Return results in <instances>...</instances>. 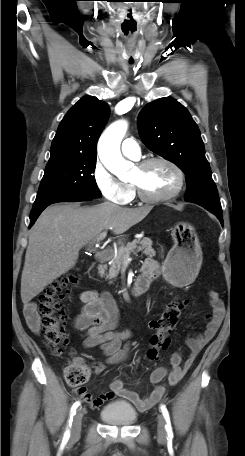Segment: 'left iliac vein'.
I'll return each mask as SVG.
<instances>
[{
	"label": "left iliac vein",
	"mask_w": 245,
	"mask_h": 456,
	"mask_svg": "<svg viewBox=\"0 0 245 456\" xmlns=\"http://www.w3.org/2000/svg\"><path fill=\"white\" fill-rule=\"evenodd\" d=\"M158 425H157V433L160 440L164 441L166 438V429H165V420L162 415H158L157 417Z\"/></svg>",
	"instance_id": "4c4485c4"
}]
</instances>
